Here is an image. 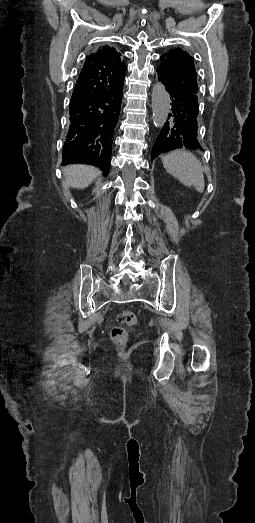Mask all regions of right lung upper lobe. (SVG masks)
Returning <instances> with one entry per match:
<instances>
[{
	"instance_id": "obj_1",
	"label": "right lung upper lobe",
	"mask_w": 255,
	"mask_h": 523,
	"mask_svg": "<svg viewBox=\"0 0 255 523\" xmlns=\"http://www.w3.org/2000/svg\"><path fill=\"white\" fill-rule=\"evenodd\" d=\"M115 48L103 46L85 59L70 100V126L63 147L62 164L83 163L109 173L113 134L116 128L126 66ZM91 98L100 100V140L94 143V153H83V114L79 103Z\"/></svg>"
}]
</instances>
